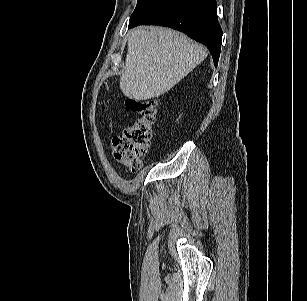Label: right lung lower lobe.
Listing matches in <instances>:
<instances>
[{"label": "right lung lower lobe", "instance_id": "obj_1", "mask_svg": "<svg viewBox=\"0 0 307 301\" xmlns=\"http://www.w3.org/2000/svg\"><path fill=\"white\" fill-rule=\"evenodd\" d=\"M215 0H166L142 16L128 28L140 24H154L174 28L206 45L217 66L222 40Z\"/></svg>", "mask_w": 307, "mask_h": 301}]
</instances>
